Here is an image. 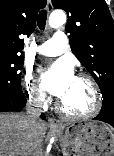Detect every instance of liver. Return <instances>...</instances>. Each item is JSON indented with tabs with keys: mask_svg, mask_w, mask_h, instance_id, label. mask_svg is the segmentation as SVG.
Returning <instances> with one entry per match:
<instances>
[{
	"mask_svg": "<svg viewBox=\"0 0 114 156\" xmlns=\"http://www.w3.org/2000/svg\"><path fill=\"white\" fill-rule=\"evenodd\" d=\"M46 130L44 121L32 122L26 114H0V156H32Z\"/></svg>",
	"mask_w": 114,
	"mask_h": 156,
	"instance_id": "liver-1",
	"label": "liver"
}]
</instances>
